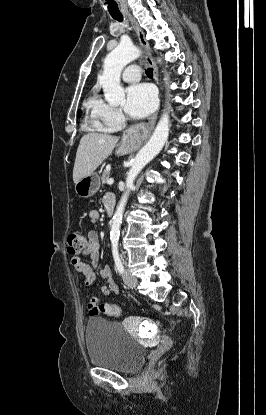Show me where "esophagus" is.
I'll return each instance as SVG.
<instances>
[{
	"label": "esophagus",
	"mask_w": 266,
	"mask_h": 415,
	"mask_svg": "<svg viewBox=\"0 0 266 415\" xmlns=\"http://www.w3.org/2000/svg\"><path fill=\"white\" fill-rule=\"evenodd\" d=\"M128 18L131 21L132 26L137 33L139 42L145 51L146 62L153 69L154 80L159 86L158 69L155 62L152 59L149 43L145 38V34L139 26V24L137 23V21L131 15H128ZM157 115L158 110L150 117L149 122L147 124H138L127 129L123 134V139L133 145L141 144L145 139H147V137L152 132L157 120Z\"/></svg>",
	"instance_id": "esophagus-1"
}]
</instances>
